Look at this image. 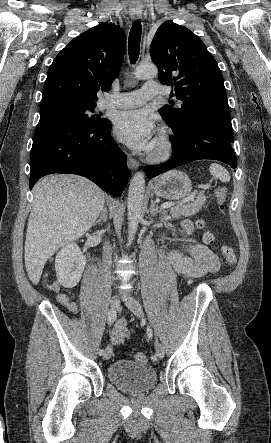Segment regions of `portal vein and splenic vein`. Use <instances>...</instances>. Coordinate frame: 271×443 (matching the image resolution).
<instances>
[{
    "mask_svg": "<svg viewBox=\"0 0 271 443\" xmlns=\"http://www.w3.org/2000/svg\"><path fill=\"white\" fill-rule=\"evenodd\" d=\"M189 198H184V200H181L182 204H185V202H191V200H194L196 197V194L193 191H190L188 193ZM174 206V202H166V204H162L161 208H172Z\"/></svg>",
    "mask_w": 271,
    "mask_h": 443,
    "instance_id": "1",
    "label": "portal vein and splenic vein"
}]
</instances>
